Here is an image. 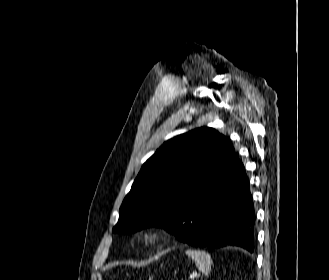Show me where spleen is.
Listing matches in <instances>:
<instances>
[{
    "label": "spleen",
    "instance_id": "spleen-1",
    "mask_svg": "<svg viewBox=\"0 0 329 280\" xmlns=\"http://www.w3.org/2000/svg\"><path fill=\"white\" fill-rule=\"evenodd\" d=\"M186 255L192 258L203 275H209L211 272L212 259L208 253L200 250H187Z\"/></svg>",
    "mask_w": 329,
    "mask_h": 280
}]
</instances>
